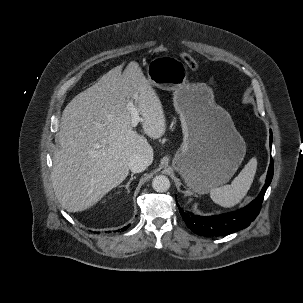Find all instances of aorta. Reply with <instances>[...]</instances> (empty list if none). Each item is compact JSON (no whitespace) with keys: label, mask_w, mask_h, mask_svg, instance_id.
Returning <instances> with one entry per match:
<instances>
[{"label":"aorta","mask_w":303,"mask_h":303,"mask_svg":"<svg viewBox=\"0 0 303 303\" xmlns=\"http://www.w3.org/2000/svg\"><path fill=\"white\" fill-rule=\"evenodd\" d=\"M152 187L156 192H166L170 188V181L164 175H158L153 178Z\"/></svg>","instance_id":"1"}]
</instances>
